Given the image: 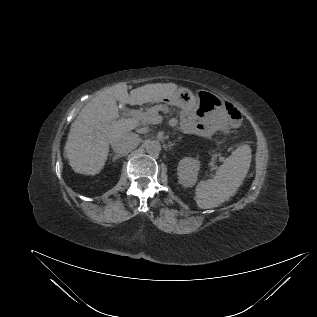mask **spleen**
Masks as SVG:
<instances>
[{"instance_id": "obj_1", "label": "spleen", "mask_w": 317, "mask_h": 317, "mask_svg": "<svg viewBox=\"0 0 317 317\" xmlns=\"http://www.w3.org/2000/svg\"><path fill=\"white\" fill-rule=\"evenodd\" d=\"M251 157V148L241 145L224 161L213 178L200 181L195 189L198 207L209 209L228 200L245 179Z\"/></svg>"}]
</instances>
